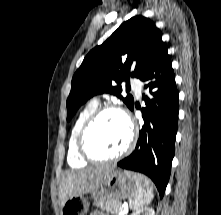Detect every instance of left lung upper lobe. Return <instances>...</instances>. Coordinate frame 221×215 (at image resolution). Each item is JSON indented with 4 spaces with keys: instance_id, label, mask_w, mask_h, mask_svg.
I'll return each instance as SVG.
<instances>
[{
    "instance_id": "1",
    "label": "left lung upper lobe",
    "mask_w": 221,
    "mask_h": 215,
    "mask_svg": "<svg viewBox=\"0 0 221 215\" xmlns=\"http://www.w3.org/2000/svg\"><path fill=\"white\" fill-rule=\"evenodd\" d=\"M149 18L135 16L123 22L101 45L93 48L75 72L67 99V121L89 98L111 93L132 109L131 95L121 96V83L141 78L165 43Z\"/></svg>"
}]
</instances>
